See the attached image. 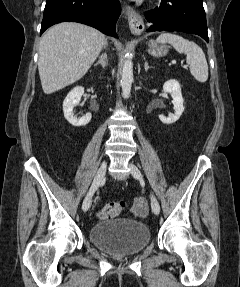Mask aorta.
<instances>
[{"instance_id": "762f6f07", "label": "aorta", "mask_w": 240, "mask_h": 287, "mask_svg": "<svg viewBox=\"0 0 240 287\" xmlns=\"http://www.w3.org/2000/svg\"><path fill=\"white\" fill-rule=\"evenodd\" d=\"M132 82H133V64L132 61L129 58H127L124 62L121 75L122 94L125 98H128L130 95Z\"/></svg>"}]
</instances>
